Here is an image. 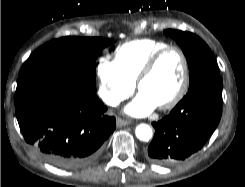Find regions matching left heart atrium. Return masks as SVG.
<instances>
[{
    "label": "left heart atrium",
    "instance_id": "left-heart-atrium-1",
    "mask_svg": "<svg viewBox=\"0 0 245 187\" xmlns=\"http://www.w3.org/2000/svg\"><path fill=\"white\" fill-rule=\"evenodd\" d=\"M157 107L156 103L145 93L139 92L136 98L126 107V112L135 117L148 115Z\"/></svg>",
    "mask_w": 245,
    "mask_h": 187
}]
</instances>
